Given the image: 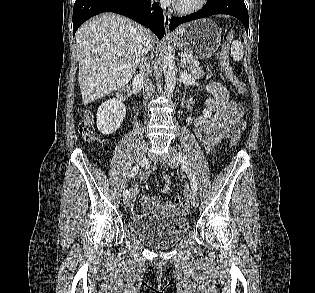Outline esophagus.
<instances>
[{
	"instance_id": "34e87169",
	"label": "esophagus",
	"mask_w": 315,
	"mask_h": 293,
	"mask_svg": "<svg viewBox=\"0 0 315 293\" xmlns=\"http://www.w3.org/2000/svg\"><path fill=\"white\" fill-rule=\"evenodd\" d=\"M170 19H171L170 14L167 12H164V25H165L166 31H169Z\"/></svg>"
}]
</instances>
